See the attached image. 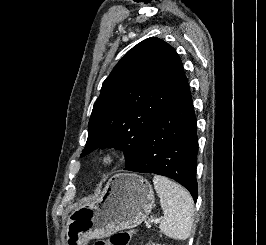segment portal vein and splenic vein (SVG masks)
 I'll return each mask as SVG.
<instances>
[{
	"label": "portal vein and splenic vein",
	"instance_id": "portal-vein-and-splenic-vein-1",
	"mask_svg": "<svg viewBox=\"0 0 266 245\" xmlns=\"http://www.w3.org/2000/svg\"><path fill=\"white\" fill-rule=\"evenodd\" d=\"M159 221H161V219H155L154 223H159Z\"/></svg>",
	"mask_w": 266,
	"mask_h": 245
}]
</instances>
